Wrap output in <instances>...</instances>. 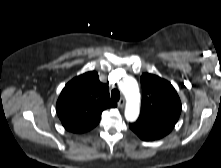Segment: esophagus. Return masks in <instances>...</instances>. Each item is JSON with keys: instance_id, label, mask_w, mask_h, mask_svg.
Listing matches in <instances>:
<instances>
[{"instance_id": "1", "label": "esophagus", "mask_w": 221, "mask_h": 168, "mask_svg": "<svg viewBox=\"0 0 221 168\" xmlns=\"http://www.w3.org/2000/svg\"><path fill=\"white\" fill-rule=\"evenodd\" d=\"M125 105V99L124 98H121L119 101H118V107L122 108L124 107Z\"/></svg>"}]
</instances>
